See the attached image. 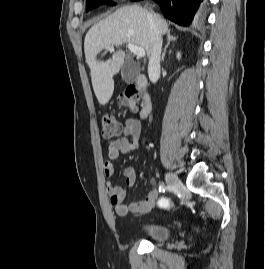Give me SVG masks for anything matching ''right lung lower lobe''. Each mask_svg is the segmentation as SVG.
I'll return each mask as SVG.
<instances>
[{"mask_svg":"<svg viewBox=\"0 0 265 269\" xmlns=\"http://www.w3.org/2000/svg\"><path fill=\"white\" fill-rule=\"evenodd\" d=\"M140 1V0H132ZM164 16L180 25H189L203 0H154Z\"/></svg>","mask_w":265,"mask_h":269,"instance_id":"98d812e1","label":"right lung lower lobe"}]
</instances>
